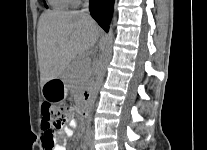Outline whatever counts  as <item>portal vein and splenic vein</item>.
I'll use <instances>...</instances> for the list:
<instances>
[{"label": "portal vein and splenic vein", "instance_id": "portal-vein-and-splenic-vein-1", "mask_svg": "<svg viewBox=\"0 0 207 150\" xmlns=\"http://www.w3.org/2000/svg\"><path fill=\"white\" fill-rule=\"evenodd\" d=\"M90 60L88 58H86V60H84L85 63L89 62Z\"/></svg>", "mask_w": 207, "mask_h": 150}]
</instances>
